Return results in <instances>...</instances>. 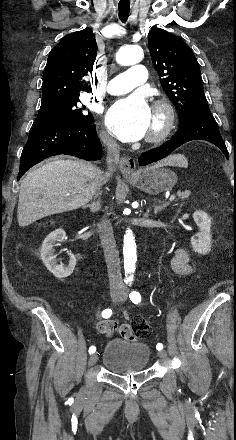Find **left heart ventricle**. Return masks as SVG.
<instances>
[{
	"instance_id": "obj_1",
	"label": "left heart ventricle",
	"mask_w": 236,
	"mask_h": 440,
	"mask_svg": "<svg viewBox=\"0 0 236 440\" xmlns=\"http://www.w3.org/2000/svg\"><path fill=\"white\" fill-rule=\"evenodd\" d=\"M154 124H155V119H154V117H153V118H152V123H151V126H150V129H149V130H151V129L153 128Z\"/></svg>"
}]
</instances>
